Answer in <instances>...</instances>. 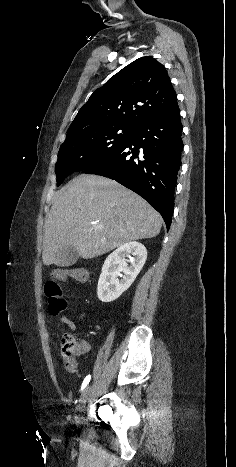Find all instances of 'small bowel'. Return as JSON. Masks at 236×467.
Segmentation results:
<instances>
[{"mask_svg": "<svg viewBox=\"0 0 236 467\" xmlns=\"http://www.w3.org/2000/svg\"><path fill=\"white\" fill-rule=\"evenodd\" d=\"M79 309L80 310H79V313L77 315L76 321H73V320L69 319L66 316H60V318H59L60 322L63 323V324H66L70 328V330H72V331L77 330L78 323H81L84 320L85 316H86L85 310L83 308H81V307H79ZM89 350H90V345L85 343V347H84L83 352H87Z\"/></svg>", "mask_w": 236, "mask_h": 467, "instance_id": "c3829d8e", "label": "small bowel"}]
</instances>
